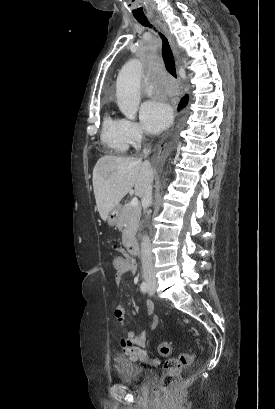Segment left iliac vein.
<instances>
[{
  "instance_id": "obj_1",
  "label": "left iliac vein",
  "mask_w": 275,
  "mask_h": 409,
  "mask_svg": "<svg viewBox=\"0 0 275 409\" xmlns=\"http://www.w3.org/2000/svg\"><path fill=\"white\" fill-rule=\"evenodd\" d=\"M155 293V284L153 283L148 290V294L151 296Z\"/></svg>"
}]
</instances>
